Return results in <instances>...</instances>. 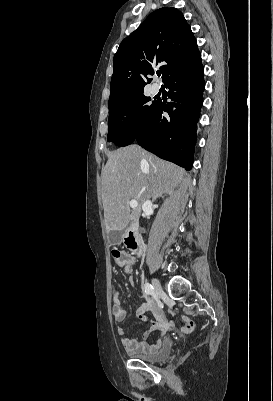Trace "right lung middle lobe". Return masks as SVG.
Listing matches in <instances>:
<instances>
[{"label":"right lung middle lobe","instance_id":"right-lung-middle-lobe-1","mask_svg":"<svg viewBox=\"0 0 273 401\" xmlns=\"http://www.w3.org/2000/svg\"><path fill=\"white\" fill-rule=\"evenodd\" d=\"M150 100V97L140 93L109 107L107 140L119 146L133 143L138 131L153 116L158 101L148 103Z\"/></svg>","mask_w":273,"mask_h":401}]
</instances>
